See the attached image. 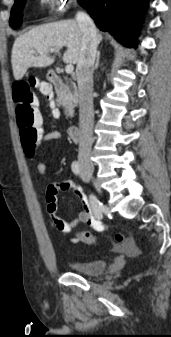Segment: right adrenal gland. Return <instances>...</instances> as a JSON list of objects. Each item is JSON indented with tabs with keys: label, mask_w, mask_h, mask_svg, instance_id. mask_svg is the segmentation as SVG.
Listing matches in <instances>:
<instances>
[{
	"label": "right adrenal gland",
	"mask_w": 171,
	"mask_h": 337,
	"mask_svg": "<svg viewBox=\"0 0 171 337\" xmlns=\"http://www.w3.org/2000/svg\"><path fill=\"white\" fill-rule=\"evenodd\" d=\"M99 59H100V51L97 52L96 63H95V69L98 68V65H99Z\"/></svg>",
	"instance_id": "right-adrenal-gland-1"
}]
</instances>
